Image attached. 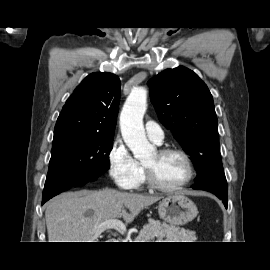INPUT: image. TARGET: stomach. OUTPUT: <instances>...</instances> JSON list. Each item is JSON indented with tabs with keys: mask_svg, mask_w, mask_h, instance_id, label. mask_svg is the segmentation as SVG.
<instances>
[{
	"mask_svg": "<svg viewBox=\"0 0 270 270\" xmlns=\"http://www.w3.org/2000/svg\"><path fill=\"white\" fill-rule=\"evenodd\" d=\"M161 219L173 226H182L192 221L198 214L196 205L183 194H172L163 198L158 205Z\"/></svg>",
	"mask_w": 270,
	"mask_h": 270,
	"instance_id": "obj_1",
	"label": "stomach"
}]
</instances>
